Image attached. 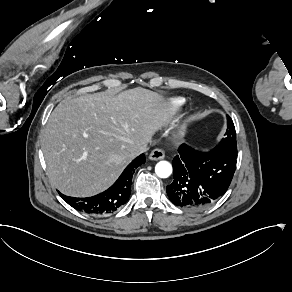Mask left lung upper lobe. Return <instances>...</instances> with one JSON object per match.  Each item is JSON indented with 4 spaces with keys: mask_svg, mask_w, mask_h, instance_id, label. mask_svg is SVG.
<instances>
[{
    "mask_svg": "<svg viewBox=\"0 0 292 292\" xmlns=\"http://www.w3.org/2000/svg\"><path fill=\"white\" fill-rule=\"evenodd\" d=\"M227 137L223 139L219 145H222L224 147H227L230 150H237V144H236V131L233 124V121L231 118L227 115Z\"/></svg>",
    "mask_w": 292,
    "mask_h": 292,
    "instance_id": "left-lung-upper-lobe-1",
    "label": "left lung upper lobe"
}]
</instances>
